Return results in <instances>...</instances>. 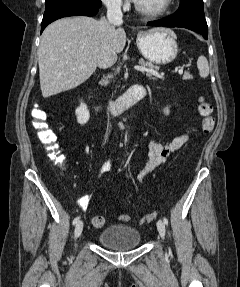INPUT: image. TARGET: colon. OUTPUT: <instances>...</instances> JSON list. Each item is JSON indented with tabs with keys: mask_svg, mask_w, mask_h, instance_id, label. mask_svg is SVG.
<instances>
[{
	"mask_svg": "<svg viewBox=\"0 0 240 287\" xmlns=\"http://www.w3.org/2000/svg\"><path fill=\"white\" fill-rule=\"evenodd\" d=\"M198 112L202 118L201 127L202 131L205 134H208L212 131L214 127V118L212 117L213 108L212 105L203 97L199 98L198 101ZM32 117V127L35 129L37 133V137L39 141L47 147L48 150L51 151V156L58 162L62 164L63 157L57 150L56 143V135L55 133L48 127L46 123V113L43 109L39 107H35L31 111ZM156 212H151L146 214L140 219V223H149L156 219ZM120 221H129L130 217L128 215H120ZM104 218L102 216H94L91 220L92 225L95 228H100L104 225Z\"/></svg>",
	"mask_w": 240,
	"mask_h": 287,
	"instance_id": "obj_1",
	"label": "colon"
}]
</instances>
